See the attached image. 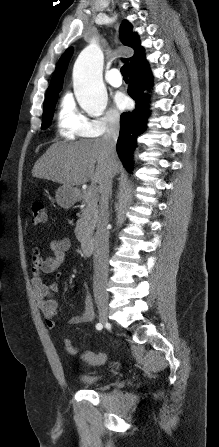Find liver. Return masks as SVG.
<instances>
[{"label": "liver", "mask_w": 219, "mask_h": 447, "mask_svg": "<svg viewBox=\"0 0 219 447\" xmlns=\"http://www.w3.org/2000/svg\"><path fill=\"white\" fill-rule=\"evenodd\" d=\"M119 168L120 161L116 155L111 167L112 176ZM108 170L103 140L94 139L52 144L36 161L32 175L70 187L85 184L89 180L100 186Z\"/></svg>", "instance_id": "liver-1"}]
</instances>
